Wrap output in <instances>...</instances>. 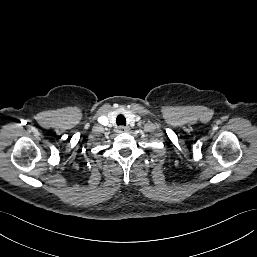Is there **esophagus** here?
I'll return each mask as SVG.
<instances>
[{"mask_svg": "<svg viewBox=\"0 0 257 257\" xmlns=\"http://www.w3.org/2000/svg\"><path fill=\"white\" fill-rule=\"evenodd\" d=\"M119 131L122 132V133L128 132V128L125 127V126H120V127H119Z\"/></svg>", "mask_w": 257, "mask_h": 257, "instance_id": "1", "label": "esophagus"}]
</instances>
